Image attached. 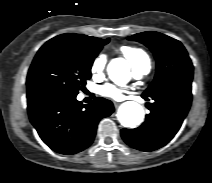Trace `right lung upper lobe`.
<instances>
[{"mask_svg": "<svg viewBox=\"0 0 212 183\" xmlns=\"http://www.w3.org/2000/svg\"><path fill=\"white\" fill-rule=\"evenodd\" d=\"M55 38L56 39H68V40L77 41V42H91L94 39H96L95 37H90V36L81 35V34H72V33L58 35Z\"/></svg>", "mask_w": 212, "mask_h": 183, "instance_id": "right-lung-upper-lobe-1", "label": "right lung upper lobe"}]
</instances>
